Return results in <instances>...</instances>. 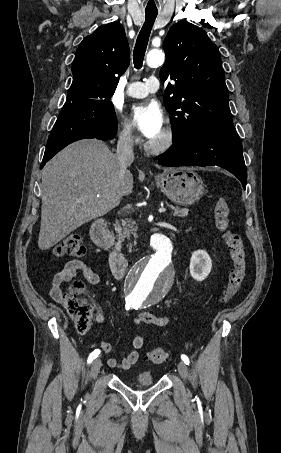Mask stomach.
<instances>
[{
    "mask_svg": "<svg viewBox=\"0 0 281 453\" xmlns=\"http://www.w3.org/2000/svg\"><path fill=\"white\" fill-rule=\"evenodd\" d=\"M162 192L177 204H193L201 198L204 184L201 176L190 166L166 168L162 174L156 176Z\"/></svg>",
    "mask_w": 281,
    "mask_h": 453,
    "instance_id": "stomach-1",
    "label": "stomach"
}]
</instances>
